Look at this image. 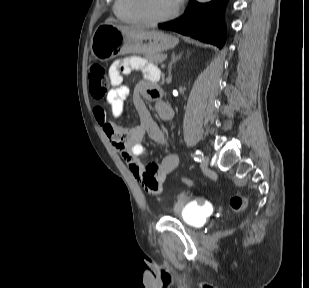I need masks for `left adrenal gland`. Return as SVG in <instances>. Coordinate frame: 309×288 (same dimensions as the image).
<instances>
[{"label": "left adrenal gland", "mask_w": 309, "mask_h": 288, "mask_svg": "<svg viewBox=\"0 0 309 288\" xmlns=\"http://www.w3.org/2000/svg\"><path fill=\"white\" fill-rule=\"evenodd\" d=\"M181 55L182 53H180L178 56L175 55V52L172 53L171 61L168 65L169 77H171L172 65L181 58Z\"/></svg>", "instance_id": "a2214340"}]
</instances>
